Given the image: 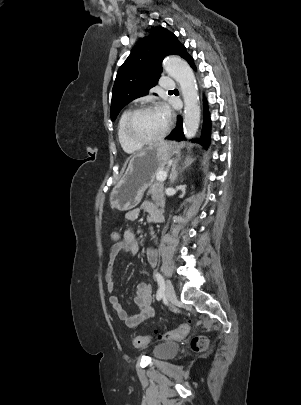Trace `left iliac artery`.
Instances as JSON below:
<instances>
[{"label": "left iliac artery", "instance_id": "obj_1", "mask_svg": "<svg viewBox=\"0 0 301 405\" xmlns=\"http://www.w3.org/2000/svg\"><path fill=\"white\" fill-rule=\"evenodd\" d=\"M154 276H155L158 286H159L157 294H156V298L159 301L162 298V296L164 295L165 283H164V279H163L162 275L159 272H154Z\"/></svg>", "mask_w": 301, "mask_h": 405}]
</instances>
